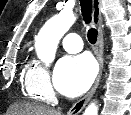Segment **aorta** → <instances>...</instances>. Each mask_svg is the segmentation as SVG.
I'll return each instance as SVG.
<instances>
[{
	"instance_id": "obj_1",
	"label": "aorta",
	"mask_w": 131,
	"mask_h": 115,
	"mask_svg": "<svg viewBox=\"0 0 131 115\" xmlns=\"http://www.w3.org/2000/svg\"><path fill=\"white\" fill-rule=\"evenodd\" d=\"M76 21L73 12L62 11L48 20L36 37L35 49L38 58L46 67L54 61L58 43ZM83 115H98V106L93 102Z\"/></svg>"
}]
</instances>
